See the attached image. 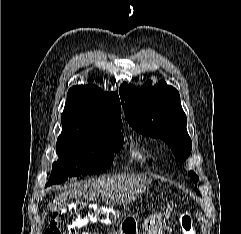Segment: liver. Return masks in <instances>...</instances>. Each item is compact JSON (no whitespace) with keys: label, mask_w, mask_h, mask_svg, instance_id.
Masks as SVG:
<instances>
[{"label":"liver","mask_w":241,"mask_h":234,"mask_svg":"<svg viewBox=\"0 0 241 234\" xmlns=\"http://www.w3.org/2000/svg\"><path fill=\"white\" fill-rule=\"evenodd\" d=\"M152 182L146 176L119 174L108 178L88 180L70 185L69 189L56 196L49 203V210L54 212L66 207V201L71 198L96 200V193L108 204H128L143 193Z\"/></svg>","instance_id":"1"}]
</instances>
